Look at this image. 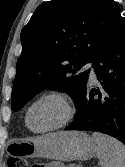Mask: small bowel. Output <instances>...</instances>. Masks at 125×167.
Instances as JSON below:
<instances>
[{
    "label": "small bowel",
    "instance_id": "c3829d8e",
    "mask_svg": "<svg viewBox=\"0 0 125 167\" xmlns=\"http://www.w3.org/2000/svg\"><path fill=\"white\" fill-rule=\"evenodd\" d=\"M39 167H58L55 163L40 164Z\"/></svg>",
    "mask_w": 125,
    "mask_h": 167
}]
</instances>
